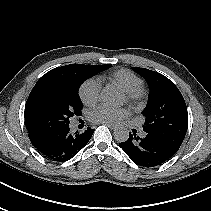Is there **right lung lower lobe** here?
Segmentation results:
<instances>
[{
    "label": "right lung lower lobe",
    "mask_w": 211,
    "mask_h": 211,
    "mask_svg": "<svg viewBox=\"0 0 211 211\" xmlns=\"http://www.w3.org/2000/svg\"><path fill=\"white\" fill-rule=\"evenodd\" d=\"M94 130L71 133L69 124L29 133L32 145L51 161L64 162L74 157L90 140Z\"/></svg>",
    "instance_id": "1"
}]
</instances>
